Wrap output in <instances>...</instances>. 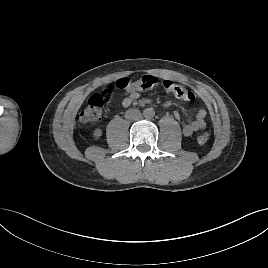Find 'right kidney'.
<instances>
[{
	"label": "right kidney",
	"mask_w": 268,
	"mask_h": 268,
	"mask_svg": "<svg viewBox=\"0 0 268 268\" xmlns=\"http://www.w3.org/2000/svg\"><path fill=\"white\" fill-rule=\"evenodd\" d=\"M102 135V131L100 129H96L94 132H93V136L94 138L98 139L100 138V136Z\"/></svg>",
	"instance_id": "obj_1"
}]
</instances>
